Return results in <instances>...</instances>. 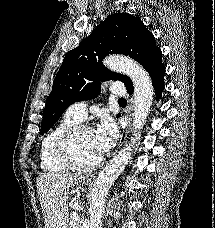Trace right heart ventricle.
<instances>
[{
	"instance_id": "right-heart-ventricle-1",
	"label": "right heart ventricle",
	"mask_w": 215,
	"mask_h": 228,
	"mask_svg": "<svg viewBox=\"0 0 215 228\" xmlns=\"http://www.w3.org/2000/svg\"><path fill=\"white\" fill-rule=\"evenodd\" d=\"M66 112L59 121L44 135L39 149L40 167L43 172L48 174L62 173L67 170L61 165L54 156V144L57 138L68 128L79 123Z\"/></svg>"
}]
</instances>
